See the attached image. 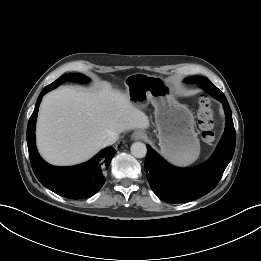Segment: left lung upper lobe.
<instances>
[{"mask_svg":"<svg viewBox=\"0 0 261 261\" xmlns=\"http://www.w3.org/2000/svg\"><path fill=\"white\" fill-rule=\"evenodd\" d=\"M195 77H198V76L189 77V78L186 79V81H187V82H195V81H194V78H195ZM195 83H196V82H195Z\"/></svg>","mask_w":261,"mask_h":261,"instance_id":"obj_1","label":"left lung upper lobe"}]
</instances>
